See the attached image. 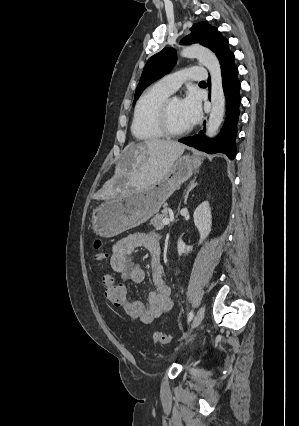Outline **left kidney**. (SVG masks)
I'll return each mask as SVG.
<instances>
[{
  "mask_svg": "<svg viewBox=\"0 0 299 426\" xmlns=\"http://www.w3.org/2000/svg\"><path fill=\"white\" fill-rule=\"evenodd\" d=\"M194 223L200 233L199 244L209 235L212 226L211 208L208 201L202 202L194 211ZM192 246H187L180 238L177 242V250L179 256L192 251Z\"/></svg>",
  "mask_w": 299,
  "mask_h": 426,
  "instance_id": "obj_1",
  "label": "left kidney"
}]
</instances>
